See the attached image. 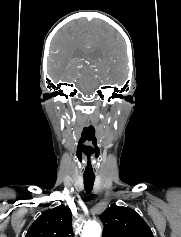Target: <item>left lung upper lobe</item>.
<instances>
[{
    "mask_svg": "<svg viewBox=\"0 0 181 237\" xmlns=\"http://www.w3.org/2000/svg\"><path fill=\"white\" fill-rule=\"evenodd\" d=\"M103 237H154L151 229L133 209L112 205L100 216Z\"/></svg>",
    "mask_w": 181,
    "mask_h": 237,
    "instance_id": "obj_1",
    "label": "left lung upper lobe"
}]
</instances>
